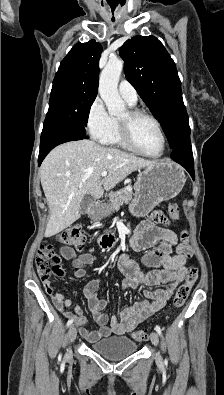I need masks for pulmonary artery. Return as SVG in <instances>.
<instances>
[{"instance_id":"1","label":"pulmonary artery","mask_w":224,"mask_h":395,"mask_svg":"<svg viewBox=\"0 0 224 395\" xmlns=\"http://www.w3.org/2000/svg\"><path fill=\"white\" fill-rule=\"evenodd\" d=\"M120 96L129 104L134 105L138 100L135 88L126 80H121L118 85Z\"/></svg>"}]
</instances>
